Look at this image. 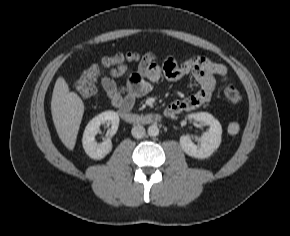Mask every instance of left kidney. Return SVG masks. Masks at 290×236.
<instances>
[{
  "mask_svg": "<svg viewBox=\"0 0 290 236\" xmlns=\"http://www.w3.org/2000/svg\"><path fill=\"white\" fill-rule=\"evenodd\" d=\"M189 119L197 122H203L210 126L200 138V145L194 144L189 136L180 137V146L182 150L191 157L198 159L208 158L221 143L222 127L217 119L211 114L200 112L188 115Z\"/></svg>",
  "mask_w": 290,
  "mask_h": 236,
  "instance_id": "5707ae66",
  "label": "left kidney"
}]
</instances>
